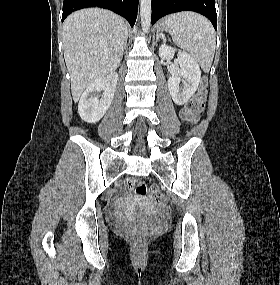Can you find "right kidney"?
I'll list each match as a JSON object with an SVG mask.
<instances>
[{
    "label": "right kidney",
    "instance_id": "obj_1",
    "mask_svg": "<svg viewBox=\"0 0 280 285\" xmlns=\"http://www.w3.org/2000/svg\"><path fill=\"white\" fill-rule=\"evenodd\" d=\"M118 74L112 72L106 77L95 80L82 94L78 113L82 120L88 123L98 122L109 109L114 97ZM103 90V96L99 100L96 93Z\"/></svg>",
    "mask_w": 280,
    "mask_h": 285
}]
</instances>
